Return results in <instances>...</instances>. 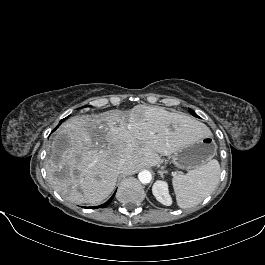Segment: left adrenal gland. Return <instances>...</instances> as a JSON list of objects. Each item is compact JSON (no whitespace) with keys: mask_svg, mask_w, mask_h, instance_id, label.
<instances>
[{"mask_svg":"<svg viewBox=\"0 0 265 265\" xmlns=\"http://www.w3.org/2000/svg\"><path fill=\"white\" fill-rule=\"evenodd\" d=\"M164 173H166V171H159V174L161 175V177H163Z\"/></svg>","mask_w":265,"mask_h":265,"instance_id":"1","label":"left adrenal gland"}]
</instances>
